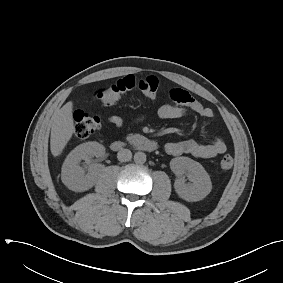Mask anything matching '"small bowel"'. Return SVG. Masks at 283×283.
Listing matches in <instances>:
<instances>
[{"instance_id": "1", "label": "small bowel", "mask_w": 283, "mask_h": 283, "mask_svg": "<svg viewBox=\"0 0 283 283\" xmlns=\"http://www.w3.org/2000/svg\"><path fill=\"white\" fill-rule=\"evenodd\" d=\"M99 91L97 96L99 97ZM171 103L162 105L158 110V115L162 119H179L184 117L189 111H192L203 118H212L213 111L205 107L197 99L190 95L186 90L174 88L169 93ZM144 118L140 117L135 123L141 122ZM108 122L117 128L123 126V119L117 115L108 118ZM165 152L171 156L189 154L197 158H213L223 154L227 150V144L222 137L215 136L209 143H200L193 139H184L177 142H168L164 146Z\"/></svg>"}]
</instances>
